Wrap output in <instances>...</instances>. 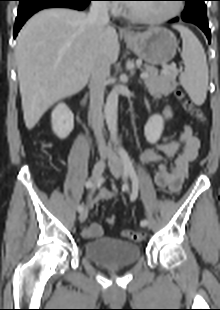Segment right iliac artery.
<instances>
[{"instance_id": "82829eb1", "label": "right iliac artery", "mask_w": 220, "mask_h": 310, "mask_svg": "<svg viewBox=\"0 0 220 310\" xmlns=\"http://www.w3.org/2000/svg\"><path fill=\"white\" fill-rule=\"evenodd\" d=\"M85 185H86V188H92L93 187V183L91 180L87 181ZM77 209L79 212H81L83 210V206L79 205Z\"/></svg>"}]
</instances>
